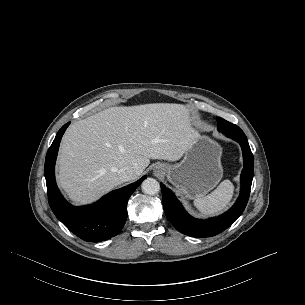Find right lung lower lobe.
<instances>
[{"mask_svg": "<svg viewBox=\"0 0 305 305\" xmlns=\"http://www.w3.org/2000/svg\"><path fill=\"white\" fill-rule=\"evenodd\" d=\"M70 122L58 131L45 159V179L49 205L56 217L79 238L100 242L116 236L127 219V202L146 175L137 182L114 190L92 205L74 207L61 195L55 181V161L59 144Z\"/></svg>", "mask_w": 305, "mask_h": 305, "instance_id": "1", "label": "right lung lower lobe"}]
</instances>
